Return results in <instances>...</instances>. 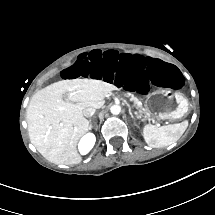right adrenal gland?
Wrapping results in <instances>:
<instances>
[{"label":"right adrenal gland","instance_id":"obj_1","mask_svg":"<svg viewBox=\"0 0 215 215\" xmlns=\"http://www.w3.org/2000/svg\"><path fill=\"white\" fill-rule=\"evenodd\" d=\"M89 130H91L92 129V124H91V119L89 120Z\"/></svg>","mask_w":215,"mask_h":215}]
</instances>
